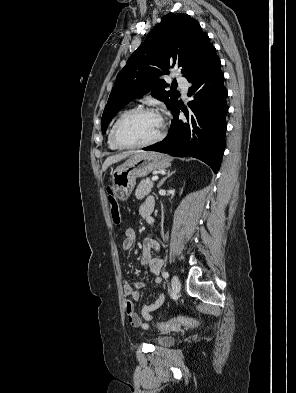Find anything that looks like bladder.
Here are the masks:
<instances>
[{
	"mask_svg": "<svg viewBox=\"0 0 296 393\" xmlns=\"http://www.w3.org/2000/svg\"><path fill=\"white\" fill-rule=\"evenodd\" d=\"M155 344L161 347H169L175 344V337L172 335H161L155 338Z\"/></svg>",
	"mask_w": 296,
	"mask_h": 393,
	"instance_id": "1",
	"label": "bladder"
}]
</instances>
